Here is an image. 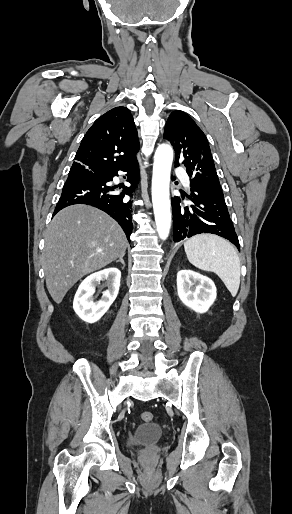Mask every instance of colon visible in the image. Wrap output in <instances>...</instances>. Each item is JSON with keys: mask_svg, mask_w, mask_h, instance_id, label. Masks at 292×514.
<instances>
[{"mask_svg": "<svg viewBox=\"0 0 292 514\" xmlns=\"http://www.w3.org/2000/svg\"><path fill=\"white\" fill-rule=\"evenodd\" d=\"M140 417L142 419L143 422L145 423H150L152 420H153V414L148 411V410H144L140 413Z\"/></svg>", "mask_w": 292, "mask_h": 514, "instance_id": "1", "label": "colon"}]
</instances>
